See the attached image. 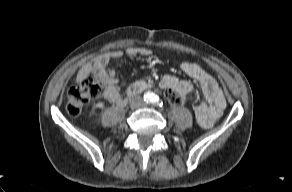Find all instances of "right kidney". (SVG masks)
Instances as JSON below:
<instances>
[{
	"label": "right kidney",
	"instance_id": "right-kidney-1",
	"mask_svg": "<svg viewBox=\"0 0 292 192\" xmlns=\"http://www.w3.org/2000/svg\"><path fill=\"white\" fill-rule=\"evenodd\" d=\"M96 107L97 108H103L104 104L102 102H99V103L96 104Z\"/></svg>",
	"mask_w": 292,
	"mask_h": 192
}]
</instances>
